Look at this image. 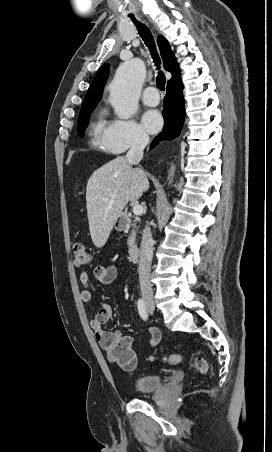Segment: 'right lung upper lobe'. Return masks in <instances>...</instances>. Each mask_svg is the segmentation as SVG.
Listing matches in <instances>:
<instances>
[{
  "label": "right lung upper lobe",
  "mask_w": 272,
  "mask_h": 452,
  "mask_svg": "<svg viewBox=\"0 0 272 452\" xmlns=\"http://www.w3.org/2000/svg\"><path fill=\"white\" fill-rule=\"evenodd\" d=\"M157 42L163 59L164 68L172 74V78L168 81L167 85L173 84L181 79L180 70L178 68L176 58L173 52L171 51L168 41L164 37L159 36ZM108 72H109L108 65H103L99 69L97 75L95 76L92 82V85L90 86L85 96L82 106L89 104H97L100 101L103 94L104 85L108 78Z\"/></svg>",
  "instance_id": "cb5924a9"
}]
</instances>
